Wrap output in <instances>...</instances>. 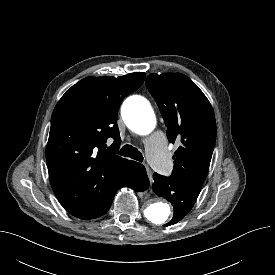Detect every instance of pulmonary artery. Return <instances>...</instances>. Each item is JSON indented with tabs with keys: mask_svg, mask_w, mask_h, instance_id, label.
<instances>
[{
	"mask_svg": "<svg viewBox=\"0 0 275 275\" xmlns=\"http://www.w3.org/2000/svg\"><path fill=\"white\" fill-rule=\"evenodd\" d=\"M145 147L150 164L159 172L166 174L170 168V161L167 155L166 139L160 133H154L145 140Z\"/></svg>",
	"mask_w": 275,
	"mask_h": 275,
	"instance_id": "obj_1",
	"label": "pulmonary artery"
}]
</instances>
